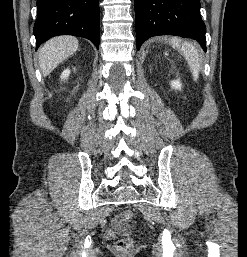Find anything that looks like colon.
Returning <instances> with one entry per match:
<instances>
[{"instance_id": "obj_1", "label": "colon", "mask_w": 247, "mask_h": 257, "mask_svg": "<svg viewBox=\"0 0 247 257\" xmlns=\"http://www.w3.org/2000/svg\"><path fill=\"white\" fill-rule=\"evenodd\" d=\"M134 217V213L130 209H126L122 213V218L124 220H131ZM133 246V239L131 237H124L119 239L116 242V249L121 253H126L132 249Z\"/></svg>"}]
</instances>
